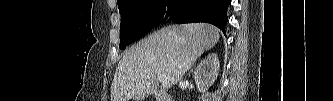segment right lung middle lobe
I'll return each mask as SVG.
<instances>
[{"mask_svg":"<svg viewBox=\"0 0 333 101\" xmlns=\"http://www.w3.org/2000/svg\"><path fill=\"white\" fill-rule=\"evenodd\" d=\"M172 0H120L122 16L120 49L137 41L161 22Z\"/></svg>","mask_w":333,"mask_h":101,"instance_id":"obj_1","label":"right lung middle lobe"}]
</instances>
